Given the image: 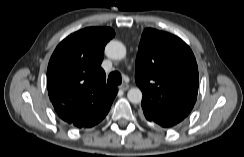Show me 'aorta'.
<instances>
[{"mask_svg": "<svg viewBox=\"0 0 244 157\" xmlns=\"http://www.w3.org/2000/svg\"><path fill=\"white\" fill-rule=\"evenodd\" d=\"M107 57L114 60H121L126 56V47L120 41L112 40L105 47ZM128 100L131 103H140L142 100V92L139 88H131L127 93Z\"/></svg>", "mask_w": 244, "mask_h": 157, "instance_id": "obj_1", "label": "aorta"}]
</instances>
